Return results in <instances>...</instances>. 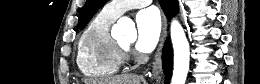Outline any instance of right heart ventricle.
Returning <instances> with one entry per match:
<instances>
[{"label":"right heart ventricle","instance_id":"right-heart-ventricle-1","mask_svg":"<svg viewBox=\"0 0 260 84\" xmlns=\"http://www.w3.org/2000/svg\"><path fill=\"white\" fill-rule=\"evenodd\" d=\"M117 17L101 10L84 30L77 50L80 72L91 79L109 78L118 73L124 61L115 49L110 28Z\"/></svg>","mask_w":260,"mask_h":84}]
</instances>
